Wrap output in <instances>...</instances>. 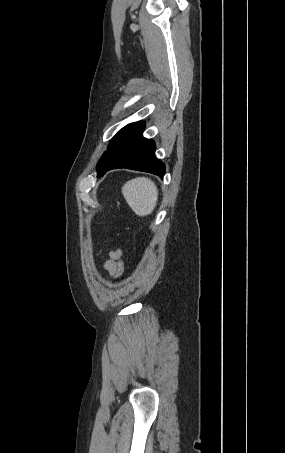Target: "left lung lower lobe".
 <instances>
[{"label": "left lung lower lobe", "instance_id": "obj_1", "mask_svg": "<svg viewBox=\"0 0 285 453\" xmlns=\"http://www.w3.org/2000/svg\"><path fill=\"white\" fill-rule=\"evenodd\" d=\"M144 127L143 122H136L127 128L98 177L111 169L128 168L149 172L163 178L165 165L155 156V143L142 136Z\"/></svg>", "mask_w": 285, "mask_h": 453}]
</instances>
